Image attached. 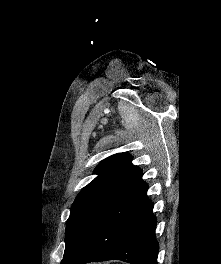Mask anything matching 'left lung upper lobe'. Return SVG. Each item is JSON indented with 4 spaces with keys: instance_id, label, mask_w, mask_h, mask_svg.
Returning a JSON list of instances; mask_svg holds the SVG:
<instances>
[{
    "instance_id": "5c2ea615",
    "label": "left lung upper lobe",
    "mask_w": 221,
    "mask_h": 264,
    "mask_svg": "<svg viewBox=\"0 0 221 264\" xmlns=\"http://www.w3.org/2000/svg\"><path fill=\"white\" fill-rule=\"evenodd\" d=\"M131 160L128 153H118L97 166L95 174L98 176L81 190L71 208L64 257L143 182L142 170Z\"/></svg>"
}]
</instances>
